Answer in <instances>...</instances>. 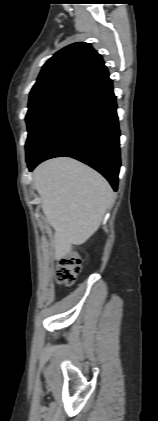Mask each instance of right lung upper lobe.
Returning a JSON list of instances; mask_svg holds the SVG:
<instances>
[{
	"instance_id": "obj_1",
	"label": "right lung upper lobe",
	"mask_w": 158,
	"mask_h": 421,
	"mask_svg": "<svg viewBox=\"0 0 158 421\" xmlns=\"http://www.w3.org/2000/svg\"><path fill=\"white\" fill-rule=\"evenodd\" d=\"M105 69L102 56L89 43H74L45 63L31 92L59 83L82 85Z\"/></svg>"
}]
</instances>
